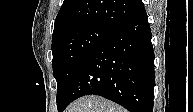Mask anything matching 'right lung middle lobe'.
<instances>
[{"mask_svg":"<svg viewBox=\"0 0 193 112\" xmlns=\"http://www.w3.org/2000/svg\"><path fill=\"white\" fill-rule=\"evenodd\" d=\"M111 32V29L96 24H80L53 36V73L57 81L58 110L87 57Z\"/></svg>","mask_w":193,"mask_h":112,"instance_id":"1","label":"right lung middle lobe"}]
</instances>
